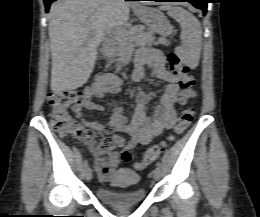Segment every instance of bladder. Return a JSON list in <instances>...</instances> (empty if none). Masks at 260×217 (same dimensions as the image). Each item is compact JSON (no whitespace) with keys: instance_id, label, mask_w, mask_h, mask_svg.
Masks as SVG:
<instances>
[{"instance_id":"obj_1","label":"bladder","mask_w":260,"mask_h":217,"mask_svg":"<svg viewBox=\"0 0 260 217\" xmlns=\"http://www.w3.org/2000/svg\"><path fill=\"white\" fill-rule=\"evenodd\" d=\"M140 176L129 168L116 171L111 186H99L96 195L102 202L115 207L131 206L146 199V190L137 186Z\"/></svg>"}]
</instances>
